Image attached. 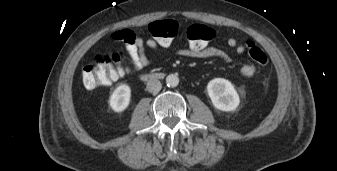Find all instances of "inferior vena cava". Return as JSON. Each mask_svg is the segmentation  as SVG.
Returning a JSON list of instances; mask_svg holds the SVG:
<instances>
[{
  "label": "inferior vena cava",
  "instance_id": "obj_1",
  "mask_svg": "<svg viewBox=\"0 0 337 171\" xmlns=\"http://www.w3.org/2000/svg\"><path fill=\"white\" fill-rule=\"evenodd\" d=\"M162 88V84L158 79H150L147 82V90L151 93H158Z\"/></svg>",
  "mask_w": 337,
  "mask_h": 171
}]
</instances>
